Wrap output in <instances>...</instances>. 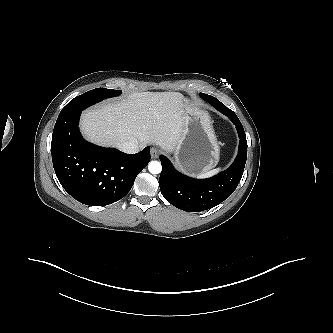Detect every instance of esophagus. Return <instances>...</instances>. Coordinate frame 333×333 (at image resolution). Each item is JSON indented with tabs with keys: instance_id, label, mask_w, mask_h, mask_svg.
Here are the masks:
<instances>
[{
	"instance_id": "34e87169",
	"label": "esophagus",
	"mask_w": 333,
	"mask_h": 333,
	"mask_svg": "<svg viewBox=\"0 0 333 333\" xmlns=\"http://www.w3.org/2000/svg\"><path fill=\"white\" fill-rule=\"evenodd\" d=\"M150 153H151V157H152L153 159L158 158L159 155H160V151H159L157 148H155V147H152V148H151Z\"/></svg>"
}]
</instances>
